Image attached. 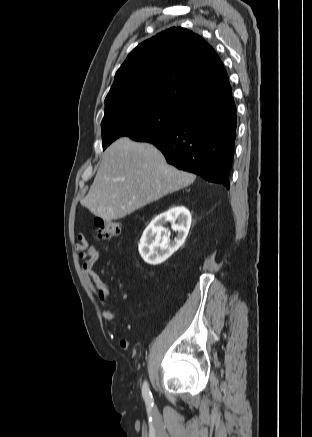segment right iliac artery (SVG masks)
Listing matches in <instances>:
<instances>
[{"label":"right iliac artery","mask_w":312,"mask_h":437,"mask_svg":"<svg viewBox=\"0 0 312 437\" xmlns=\"http://www.w3.org/2000/svg\"><path fill=\"white\" fill-rule=\"evenodd\" d=\"M142 395H143V398H144V400H145V402L147 403V404H152L153 405V398H152V394H151V392H150V390H149V386H148V384H147V382H145L144 384H143V387H142Z\"/></svg>","instance_id":"right-iliac-artery-1"}]
</instances>
